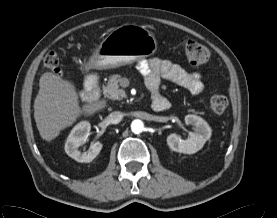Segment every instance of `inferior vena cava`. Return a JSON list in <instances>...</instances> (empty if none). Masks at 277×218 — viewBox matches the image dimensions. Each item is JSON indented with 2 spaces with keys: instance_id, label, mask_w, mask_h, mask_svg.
Segmentation results:
<instances>
[{
  "instance_id": "602c4592",
  "label": "inferior vena cava",
  "mask_w": 277,
  "mask_h": 218,
  "mask_svg": "<svg viewBox=\"0 0 277 218\" xmlns=\"http://www.w3.org/2000/svg\"><path fill=\"white\" fill-rule=\"evenodd\" d=\"M123 119V113L120 111H113L107 117V121L112 124H117Z\"/></svg>"
}]
</instances>
